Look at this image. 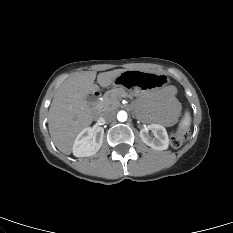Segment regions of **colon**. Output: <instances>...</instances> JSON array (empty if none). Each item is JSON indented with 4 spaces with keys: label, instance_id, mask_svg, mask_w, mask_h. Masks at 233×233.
I'll use <instances>...</instances> for the list:
<instances>
[{
    "label": "colon",
    "instance_id": "obj_1",
    "mask_svg": "<svg viewBox=\"0 0 233 233\" xmlns=\"http://www.w3.org/2000/svg\"><path fill=\"white\" fill-rule=\"evenodd\" d=\"M189 131L187 128L182 127L170 134L169 141L173 147H179L183 141L188 137Z\"/></svg>",
    "mask_w": 233,
    "mask_h": 233
}]
</instances>
